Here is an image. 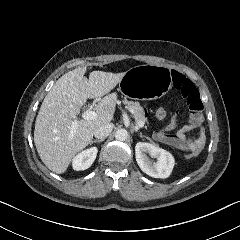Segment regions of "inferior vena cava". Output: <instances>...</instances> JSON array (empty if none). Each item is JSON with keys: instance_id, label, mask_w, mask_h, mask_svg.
Returning <instances> with one entry per match:
<instances>
[{"instance_id": "1", "label": "inferior vena cava", "mask_w": 240, "mask_h": 240, "mask_svg": "<svg viewBox=\"0 0 240 240\" xmlns=\"http://www.w3.org/2000/svg\"><path fill=\"white\" fill-rule=\"evenodd\" d=\"M113 124L112 123H106L101 126H99L94 131V136L98 139H105L113 130Z\"/></svg>"}]
</instances>
